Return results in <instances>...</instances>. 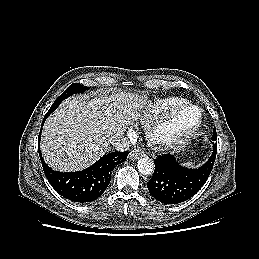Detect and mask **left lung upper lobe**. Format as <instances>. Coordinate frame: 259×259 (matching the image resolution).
I'll return each mask as SVG.
<instances>
[{"label": "left lung upper lobe", "instance_id": "obj_1", "mask_svg": "<svg viewBox=\"0 0 259 259\" xmlns=\"http://www.w3.org/2000/svg\"><path fill=\"white\" fill-rule=\"evenodd\" d=\"M217 139L216 137V129H214L213 131V136H212V140L215 141Z\"/></svg>", "mask_w": 259, "mask_h": 259}]
</instances>
